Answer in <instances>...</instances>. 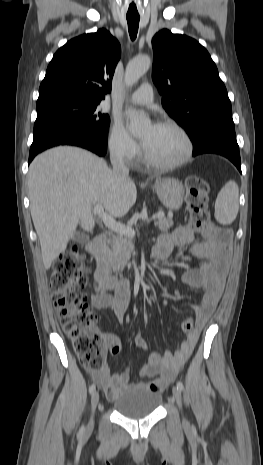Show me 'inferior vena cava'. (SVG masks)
Here are the masks:
<instances>
[{
  "instance_id": "1",
  "label": "inferior vena cava",
  "mask_w": 263,
  "mask_h": 465,
  "mask_svg": "<svg viewBox=\"0 0 263 465\" xmlns=\"http://www.w3.org/2000/svg\"><path fill=\"white\" fill-rule=\"evenodd\" d=\"M110 160L113 166V174L121 179L129 178V169L124 163L123 153L119 150H111Z\"/></svg>"
}]
</instances>
